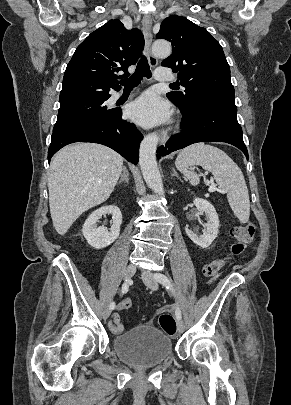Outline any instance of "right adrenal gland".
Segmentation results:
<instances>
[{"label":"right adrenal gland","instance_id":"1","mask_svg":"<svg viewBox=\"0 0 291 405\" xmlns=\"http://www.w3.org/2000/svg\"><path fill=\"white\" fill-rule=\"evenodd\" d=\"M122 171L123 172L121 174V177H120V180L118 181V183L126 182L128 184L129 183V172L125 166H123Z\"/></svg>","mask_w":291,"mask_h":405}]
</instances>
